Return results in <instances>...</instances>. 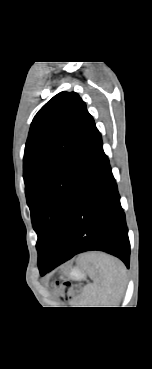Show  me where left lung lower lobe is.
I'll return each mask as SVG.
<instances>
[{
    "mask_svg": "<svg viewBox=\"0 0 152 369\" xmlns=\"http://www.w3.org/2000/svg\"><path fill=\"white\" fill-rule=\"evenodd\" d=\"M89 250L110 253L129 267L130 243L125 214L99 131L86 158L60 249L54 259L38 264L40 274Z\"/></svg>",
    "mask_w": 152,
    "mask_h": 369,
    "instance_id": "1",
    "label": "left lung lower lobe"
}]
</instances>
